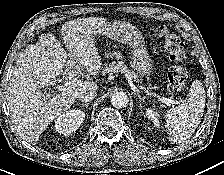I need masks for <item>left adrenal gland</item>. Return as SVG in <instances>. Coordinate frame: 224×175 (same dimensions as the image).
<instances>
[{"label": "left adrenal gland", "mask_w": 224, "mask_h": 175, "mask_svg": "<svg viewBox=\"0 0 224 175\" xmlns=\"http://www.w3.org/2000/svg\"><path fill=\"white\" fill-rule=\"evenodd\" d=\"M136 96H138L140 102L144 101L146 99V96H141L140 94L138 93H135Z\"/></svg>", "instance_id": "1"}]
</instances>
